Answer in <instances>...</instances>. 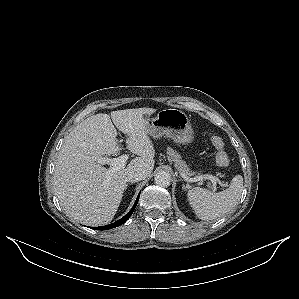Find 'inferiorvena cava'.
<instances>
[{
    "label": "inferior vena cava",
    "instance_id": "602c4592",
    "mask_svg": "<svg viewBox=\"0 0 299 299\" xmlns=\"http://www.w3.org/2000/svg\"><path fill=\"white\" fill-rule=\"evenodd\" d=\"M147 176L146 170L142 168H134L129 171L127 175V181L135 183L145 179Z\"/></svg>",
    "mask_w": 299,
    "mask_h": 299
}]
</instances>
